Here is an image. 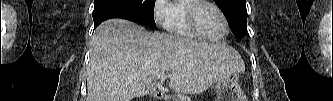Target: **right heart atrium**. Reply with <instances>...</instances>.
I'll return each mask as SVG.
<instances>
[{"instance_id":"right-heart-atrium-1","label":"right heart atrium","mask_w":333,"mask_h":101,"mask_svg":"<svg viewBox=\"0 0 333 101\" xmlns=\"http://www.w3.org/2000/svg\"><path fill=\"white\" fill-rule=\"evenodd\" d=\"M172 14V5L168 0H156L153 5V16L155 22L163 27L168 28L169 19Z\"/></svg>"}]
</instances>
